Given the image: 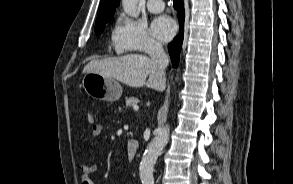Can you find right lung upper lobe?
<instances>
[{
	"label": "right lung upper lobe",
	"mask_w": 293,
	"mask_h": 184,
	"mask_svg": "<svg viewBox=\"0 0 293 184\" xmlns=\"http://www.w3.org/2000/svg\"><path fill=\"white\" fill-rule=\"evenodd\" d=\"M119 2L120 0H101L95 26L103 25L110 21Z\"/></svg>",
	"instance_id": "1"
}]
</instances>
